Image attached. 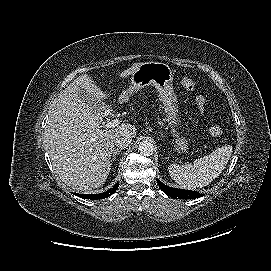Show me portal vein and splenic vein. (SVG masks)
Instances as JSON below:
<instances>
[{
  "mask_svg": "<svg viewBox=\"0 0 271 271\" xmlns=\"http://www.w3.org/2000/svg\"><path fill=\"white\" fill-rule=\"evenodd\" d=\"M119 124H120V120L117 119V118H115V119H113L112 121L108 122V123L104 126V128H107V129H109V128H115V127L119 126Z\"/></svg>",
  "mask_w": 271,
  "mask_h": 271,
  "instance_id": "1",
  "label": "portal vein and splenic vein"
}]
</instances>
